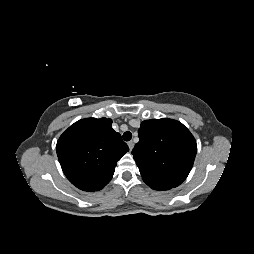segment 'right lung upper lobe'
<instances>
[{
    "instance_id": "1",
    "label": "right lung upper lobe",
    "mask_w": 254,
    "mask_h": 254,
    "mask_svg": "<svg viewBox=\"0 0 254 254\" xmlns=\"http://www.w3.org/2000/svg\"><path fill=\"white\" fill-rule=\"evenodd\" d=\"M112 120L75 122L59 138L57 156L68 180L84 191H98L111 180L117 161L129 151Z\"/></svg>"
}]
</instances>
